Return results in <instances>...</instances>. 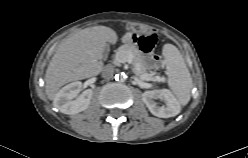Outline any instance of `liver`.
<instances>
[{"label":"liver","instance_id":"obj_1","mask_svg":"<svg viewBox=\"0 0 248 158\" xmlns=\"http://www.w3.org/2000/svg\"><path fill=\"white\" fill-rule=\"evenodd\" d=\"M116 32L106 26L79 30L62 41L45 75L46 94L55 100L65 84L98 75L103 69L102 53L107 44H115Z\"/></svg>","mask_w":248,"mask_h":158}]
</instances>
